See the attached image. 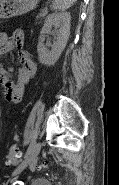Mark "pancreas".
I'll use <instances>...</instances> for the list:
<instances>
[{"label": "pancreas", "instance_id": "obj_1", "mask_svg": "<svg viewBox=\"0 0 119 185\" xmlns=\"http://www.w3.org/2000/svg\"><path fill=\"white\" fill-rule=\"evenodd\" d=\"M45 16V13H40L37 18H41V17H44Z\"/></svg>", "mask_w": 119, "mask_h": 185}]
</instances>
